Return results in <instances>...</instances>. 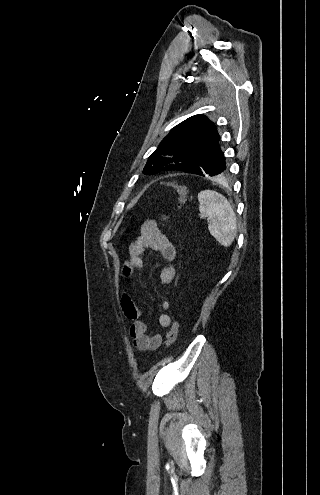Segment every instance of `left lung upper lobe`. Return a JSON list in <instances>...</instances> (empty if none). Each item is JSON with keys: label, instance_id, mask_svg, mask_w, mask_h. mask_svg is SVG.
<instances>
[{"label": "left lung upper lobe", "instance_id": "1", "mask_svg": "<svg viewBox=\"0 0 320 495\" xmlns=\"http://www.w3.org/2000/svg\"><path fill=\"white\" fill-rule=\"evenodd\" d=\"M219 142L212 121L203 114L192 116L175 126L151 154L144 174L185 171L197 164Z\"/></svg>", "mask_w": 320, "mask_h": 495}]
</instances>
